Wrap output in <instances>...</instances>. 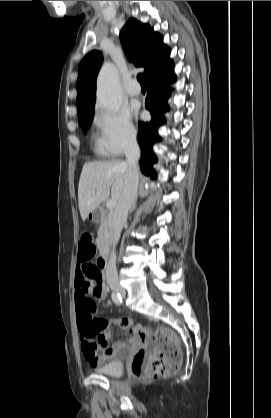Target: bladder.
Returning a JSON list of instances; mask_svg holds the SVG:
<instances>
[{
	"mask_svg": "<svg viewBox=\"0 0 271 418\" xmlns=\"http://www.w3.org/2000/svg\"><path fill=\"white\" fill-rule=\"evenodd\" d=\"M124 365L121 360H112L99 366L95 369V372L108 377H119L122 375Z\"/></svg>",
	"mask_w": 271,
	"mask_h": 418,
	"instance_id": "bladder-1",
	"label": "bladder"
}]
</instances>
